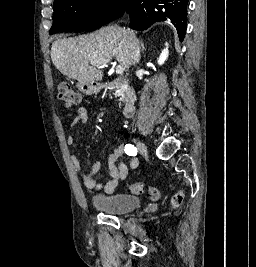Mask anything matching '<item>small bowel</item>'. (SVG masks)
I'll use <instances>...</instances> for the list:
<instances>
[{
	"label": "small bowel",
	"instance_id": "c3829d8e",
	"mask_svg": "<svg viewBox=\"0 0 256 267\" xmlns=\"http://www.w3.org/2000/svg\"><path fill=\"white\" fill-rule=\"evenodd\" d=\"M88 118L89 115L87 109L83 107L79 108L71 121V128L76 129L79 126L84 125L88 121ZM67 143L69 145L75 143L73 135L68 136ZM123 155L124 148L122 145H117L113 148L108 158L110 178L103 183L97 181V176L100 170V163L98 161L92 162L88 169L82 167L75 155L71 156V162L87 189L93 191L103 190L107 194H113L117 189L118 183L124 181L129 172L136 169L139 165V160L135 156L129 157L128 164L120 161Z\"/></svg>",
	"mask_w": 256,
	"mask_h": 267
}]
</instances>
